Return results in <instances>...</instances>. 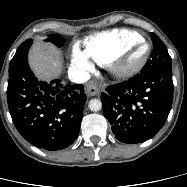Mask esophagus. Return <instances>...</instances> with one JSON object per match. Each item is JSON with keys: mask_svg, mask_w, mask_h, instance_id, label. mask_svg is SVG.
<instances>
[{"mask_svg": "<svg viewBox=\"0 0 187 187\" xmlns=\"http://www.w3.org/2000/svg\"><path fill=\"white\" fill-rule=\"evenodd\" d=\"M85 90L89 96H95L99 93V89L92 83H88Z\"/></svg>", "mask_w": 187, "mask_h": 187, "instance_id": "34e87169", "label": "esophagus"}]
</instances>
